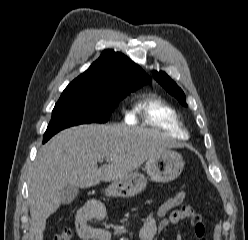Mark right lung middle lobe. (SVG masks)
Wrapping results in <instances>:
<instances>
[{
	"label": "right lung middle lobe",
	"instance_id": "1",
	"mask_svg": "<svg viewBox=\"0 0 248 240\" xmlns=\"http://www.w3.org/2000/svg\"><path fill=\"white\" fill-rule=\"evenodd\" d=\"M144 84L147 82L131 80L111 88L64 90L52 111L43 143L70 126L107 122L118 102Z\"/></svg>",
	"mask_w": 248,
	"mask_h": 240
}]
</instances>
